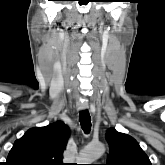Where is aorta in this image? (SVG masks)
I'll list each match as a JSON object with an SVG mask.
<instances>
[{"mask_svg": "<svg viewBox=\"0 0 165 165\" xmlns=\"http://www.w3.org/2000/svg\"><path fill=\"white\" fill-rule=\"evenodd\" d=\"M104 151L102 144H90L79 152L77 162L78 164H92L103 155Z\"/></svg>", "mask_w": 165, "mask_h": 165, "instance_id": "aorta-1", "label": "aorta"}]
</instances>
